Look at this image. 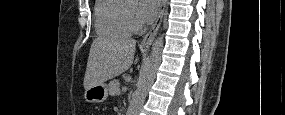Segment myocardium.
Segmentation results:
<instances>
[{"mask_svg":"<svg viewBox=\"0 0 285 115\" xmlns=\"http://www.w3.org/2000/svg\"><path fill=\"white\" fill-rule=\"evenodd\" d=\"M128 14H129L131 20L133 21V14H134V13H132V12H130V11L128 10Z\"/></svg>","mask_w":285,"mask_h":115,"instance_id":"f54148a6","label":"myocardium"}]
</instances>
